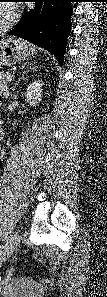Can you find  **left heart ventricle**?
Here are the masks:
<instances>
[{
  "mask_svg": "<svg viewBox=\"0 0 107 297\" xmlns=\"http://www.w3.org/2000/svg\"><path fill=\"white\" fill-rule=\"evenodd\" d=\"M7 16V12L4 9L0 8V25L5 20Z\"/></svg>",
  "mask_w": 107,
  "mask_h": 297,
  "instance_id": "1",
  "label": "left heart ventricle"
}]
</instances>
